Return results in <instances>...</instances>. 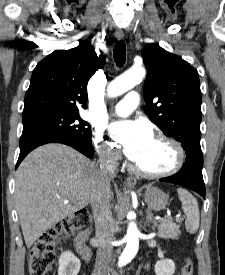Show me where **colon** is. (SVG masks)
Wrapping results in <instances>:
<instances>
[{"instance_id":"1","label":"colon","mask_w":225,"mask_h":275,"mask_svg":"<svg viewBox=\"0 0 225 275\" xmlns=\"http://www.w3.org/2000/svg\"><path fill=\"white\" fill-rule=\"evenodd\" d=\"M91 221L88 210H81L45 231L33 244L29 254L30 275H47L55 260V244L61 237H67L81 230ZM193 266L184 259L182 275H192Z\"/></svg>"}]
</instances>
